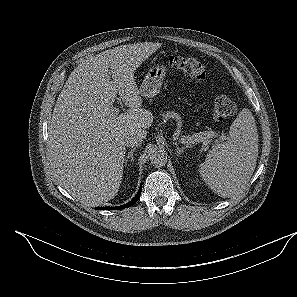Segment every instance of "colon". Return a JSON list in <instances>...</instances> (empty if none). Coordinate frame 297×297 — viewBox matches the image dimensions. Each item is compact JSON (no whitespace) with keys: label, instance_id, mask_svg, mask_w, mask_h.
<instances>
[{"label":"colon","instance_id":"colon-1","mask_svg":"<svg viewBox=\"0 0 297 297\" xmlns=\"http://www.w3.org/2000/svg\"><path fill=\"white\" fill-rule=\"evenodd\" d=\"M171 67L178 70L184 76L203 81L206 77V67L197 58L184 56H171L168 59ZM236 110L235 103L226 95L219 96L214 103L213 118L217 121H223L234 114Z\"/></svg>","mask_w":297,"mask_h":297}]
</instances>
